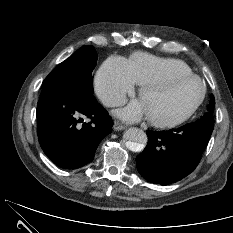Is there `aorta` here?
Here are the masks:
<instances>
[{
    "mask_svg": "<svg viewBox=\"0 0 233 233\" xmlns=\"http://www.w3.org/2000/svg\"><path fill=\"white\" fill-rule=\"evenodd\" d=\"M124 139L126 147L133 152L142 151L148 141L146 133L135 127L128 128L124 132Z\"/></svg>",
    "mask_w": 233,
    "mask_h": 233,
    "instance_id": "762f6f07",
    "label": "aorta"
}]
</instances>
